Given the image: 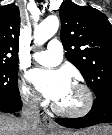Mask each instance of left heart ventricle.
I'll return each instance as SVG.
<instances>
[{
  "label": "left heart ventricle",
  "instance_id": "left-heart-ventricle-1",
  "mask_svg": "<svg viewBox=\"0 0 112 135\" xmlns=\"http://www.w3.org/2000/svg\"><path fill=\"white\" fill-rule=\"evenodd\" d=\"M66 110H77L84 104V94L81 90L71 85L66 94L56 102Z\"/></svg>",
  "mask_w": 112,
  "mask_h": 135
}]
</instances>
